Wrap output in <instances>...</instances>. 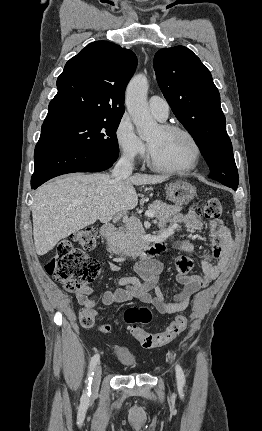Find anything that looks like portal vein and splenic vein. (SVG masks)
Segmentation results:
<instances>
[{"mask_svg": "<svg viewBox=\"0 0 262 431\" xmlns=\"http://www.w3.org/2000/svg\"><path fill=\"white\" fill-rule=\"evenodd\" d=\"M145 214H146V216H148L150 218H155L156 217V215H155V213L153 211H147Z\"/></svg>", "mask_w": 262, "mask_h": 431, "instance_id": "1", "label": "portal vein and splenic vein"}]
</instances>
